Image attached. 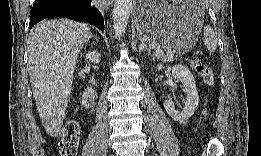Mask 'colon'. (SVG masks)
<instances>
[{"label":"colon","instance_id":"5ec220e1","mask_svg":"<svg viewBox=\"0 0 261 156\" xmlns=\"http://www.w3.org/2000/svg\"><path fill=\"white\" fill-rule=\"evenodd\" d=\"M193 69L202 76L204 82L212 85L214 82L213 70L204 64L201 60L191 62ZM81 131L76 120L67 121L60 132V141L58 143V152L61 156H76L80 141Z\"/></svg>","mask_w":261,"mask_h":156}]
</instances>
